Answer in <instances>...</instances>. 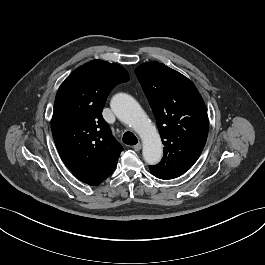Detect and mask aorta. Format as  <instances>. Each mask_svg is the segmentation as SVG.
<instances>
[{"label":"aorta","instance_id":"762f6f07","mask_svg":"<svg viewBox=\"0 0 265 265\" xmlns=\"http://www.w3.org/2000/svg\"><path fill=\"white\" fill-rule=\"evenodd\" d=\"M114 114L132 127L143 142V158L149 165L157 164L163 155L160 135L139 103L130 95L118 93L110 103Z\"/></svg>","mask_w":265,"mask_h":265}]
</instances>
